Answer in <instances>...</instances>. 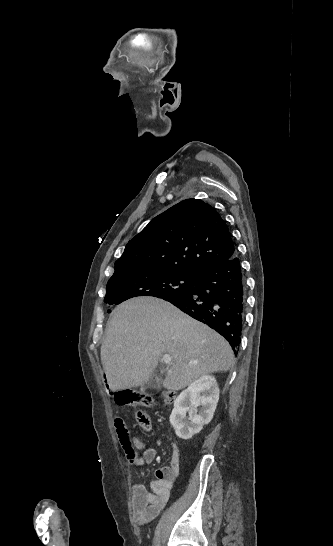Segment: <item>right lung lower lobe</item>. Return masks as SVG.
Here are the masks:
<instances>
[{"instance_id": "98d812e1", "label": "right lung lower lobe", "mask_w": 333, "mask_h": 546, "mask_svg": "<svg viewBox=\"0 0 333 546\" xmlns=\"http://www.w3.org/2000/svg\"><path fill=\"white\" fill-rule=\"evenodd\" d=\"M162 299L216 330L238 353L246 296L237 254L201 273L190 291Z\"/></svg>"}]
</instances>
